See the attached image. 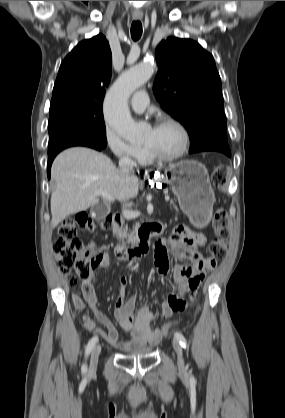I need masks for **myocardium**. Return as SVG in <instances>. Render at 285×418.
Listing matches in <instances>:
<instances>
[{"label":"myocardium","mask_w":285,"mask_h":418,"mask_svg":"<svg viewBox=\"0 0 285 418\" xmlns=\"http://www.w3.org/2000/svg\"><path fill=\"white\" fill-rule=\"evenodd\" d=\"M163 125H172L174 127H176L181 135H182V144L181 147L179 149V151L173 155L170 156H164L161 154H158L157 152H155L151 147L149 146H145V151L147 156L151 159V160H156V161H160V162H171L174 160H177L181 157H183L185 155V153L188 150L189 147V142H190V136H189V132L186 129V127L178 120L171 118V117H165L160 119L157 124L155 125V128H158L160 126Z\"/></svg>","instance_id":"1"}]
</instances>
